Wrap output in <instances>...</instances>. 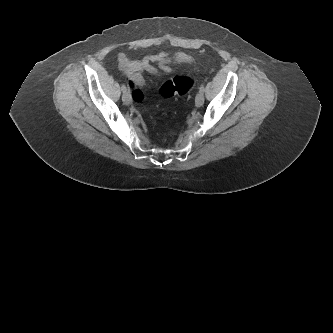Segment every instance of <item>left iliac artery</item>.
<instances>
[{"instance_id": "left-iliac-artery-1", "label": "left iliac artery", "mask_w": 333, "mask_h": 333, "mask_svg": "<svg viewBox=\"0 0 333 333\" xmlns=\"http://www.w3.org/2000/svg\"><path fill=\"white\" fill-rule=\"evenodd\" d=\"M204 90H205V89H204V85H203V84H201V85H200V87H199V92H202V93H203V92H204Z\"/></svg>"}]
</instances>
